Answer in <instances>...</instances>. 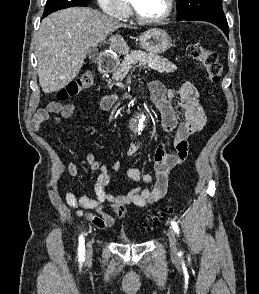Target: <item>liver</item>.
Masks as SVG:
<instances>
[{"label": "liver", "instance_id": "liver-1", "mask_svg": "<svg viewBox=\"0 0 259 294\" xmlns=\"http://www.w3.org/2000/svg\"><path fill=\"white\" fill-rule=\"evenodd\" d=\"M121 27L125 25L91 8L72 7L46 17L35 38L42 91H59L72 82L80 72L89 49L97 47ZM108 44L119 54L129 52L127 42L119 34L112 35Z\"/></svg>", "mask_w": 259, "mask_h": 294}]
</instances>
